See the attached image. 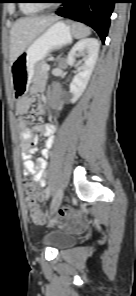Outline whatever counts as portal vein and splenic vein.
Instances as JSON below:
<instances>
[{"label": "portal vein and splenic vein", "instance_id": "portal-vein-and-splenic-vein-1", "mask_svg": "<svg viewBox=\"0 0 136 296\" xmlns=\"http://www.w3.org/2000/svg\"><path fill=\"white\" fill-rule=\"evenodd\" d=\"M45 69H46V70H49L50 68H49V66H46Z\"/></svg>", "mask_w": 136, "mask_h": 296}]
</instances>
